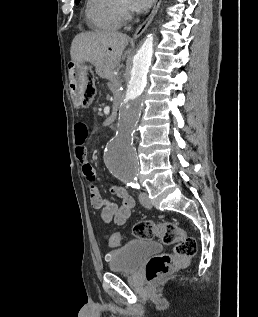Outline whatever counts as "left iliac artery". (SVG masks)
Listing matches in <instances>:
<instances>
[{
	"instance_id": "1",
	"label": "left iliac artery",
	"mask_w": 258,
	"mask_h": 317,
	"mask_svg": "<svg viewBox=\"0 0 258 317\" xmlns=\"http://www.w3.org/2000/svg\"><path fill=\"white\" fill-rule=\"evenodd\" d=\"M124 182L127 183V185L131 186L132 188L136 190H141V186L138 183L137 177H125L123 178Z\"/></svg>"
}]
</instances>
